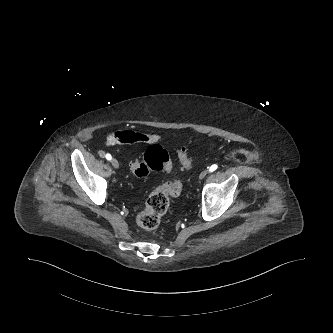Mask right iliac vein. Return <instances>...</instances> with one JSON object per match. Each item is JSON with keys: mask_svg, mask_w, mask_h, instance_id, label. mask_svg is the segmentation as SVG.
<instances>
[{"mask_svg": "<svg viewBox=\"0 0 333 333\" xmlns=\"http://www.w3.org/2000/svg\"><path fill=\"white\" fill-rule=\"evenodd\" d=\"M112 166L115 168V169H118L119 168V162L117 161V159L113 158L112 161Z\"/></svg>", "mask_w": 333, "mask_h": 333, "instance_id": "1", "label": "right iliac vein"}]
</instances>
